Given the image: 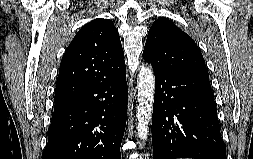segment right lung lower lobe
<instances>
[{"label": "right lung lower lobe", "mask_w": 253, "mask_h": 159, "mask_svg": "<svg viewBox=\"0 0 253 159\" xmlns=\"http://www.w3.org/2000/svg\"><path fill=\"white\" fill-rule=\"evenodd\" d=\"M126 69L54 107L43 159H121Z\"/></svg>", "instance_id": "right-lung-lower-lobe-1"}]
</instances>
